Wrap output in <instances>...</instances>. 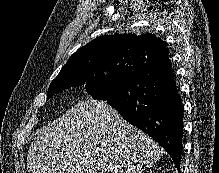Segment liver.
Wrapping results in <instances>:
<instances>
[{
	"label": "liver",
	"mask_w": 219,
	"mask_h": 173,
	"mask_svg": "<svg viewBox=\"0 0 219 173\" xmlns=\"http://www.w3.org/2000/svg\"><path fill=\"white\" fill-rule=\"evenodd\" d=\"M163 151L105 101L88 99L36 132L29 173H142Z\"/></svg>",
	"instance_id": "obj_1"
}]
</instances>
